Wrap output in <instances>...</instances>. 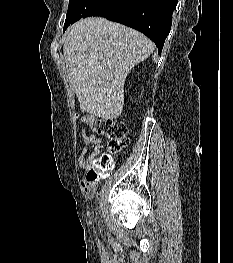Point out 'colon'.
Returning <instances> with one entry per match:
<instances>
[{
    "mask_svg": "<svg viewBox=\"0 0 233 263\" xmlns=\"http://www.w3.org/2000/svg\"><path fill=\"white\" fill-rule=\"evenodd\" d=\"M82 120L99 135L108 138V149L96 158L86 174V180L97 183L98 180H107V175L114 168V156L128 146L127 127L123 122L111 119L84 116Z\"/></svg>",
    "mask_w": 233,
    "mask_h": 263,
    "instance_id": "obj_1",
    "label": "colon"
}]
</instances>
